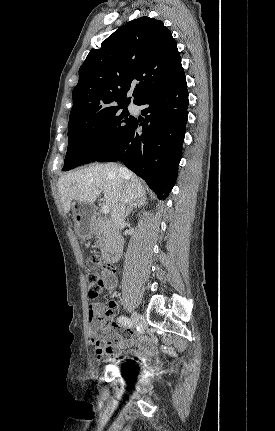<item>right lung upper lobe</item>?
<instances>
[{
  "label": "right lung upper lobe",
  "mask_w": 275,
  "mask_h": 431,
  "mask_svg": "<svg viewBox=\"0 0 275 431\" xmlns=\"http://www.w3.org/2000/svg\"><path fill=\"white\" fill-rule=\"evenodd\" d=\"M182 69L176 41L161 21H130L92 49L81 65L69 123L117 104H137ZM131 88L132 98H126Z\"/></svg>",
  "instance_id": "obj_1"
}]
</instances>
